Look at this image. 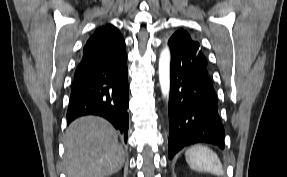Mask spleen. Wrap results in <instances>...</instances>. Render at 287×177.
Here are the masks:
<instances>
[{"label":"spleen","mask_w":287,"mask_h":177,"mask_svg":"<svg viewBox=\"0 0 287 177\" xmlns=\"http://www.w3.org/2000/svg\"><path fill=\"white\" fill-rule=\"evenodd\" d=\"M187 164L192 170L208 172L217 176L224 174L221 161L217 154L210 148L194 145L185 152Z\"/></svg>","instance_id":"3e777b00"}]
</instances>
